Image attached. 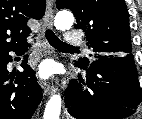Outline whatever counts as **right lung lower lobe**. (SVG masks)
I'll use <instances>...</instances> for the list:
<instances>
[{"instance_id":"obj_1","label":"right lung lower lobe","mask_w":142,"mask_h":119,"mask_svg":"<svg viewBox=\"0 0 142 119\" xmlns=\"http://www.w3.org/2000/svg\"><path fill=\"white\" fill-rule=\"evenodd\" d=\"M26 45L0 52V119H30L41 101L42 90L35 72L24 61L23 72H17L14 83H6L10 78L7 64L12 61L10 51L21 55ZM14 78V77H12Z\"/></svg>"}]
</instances>
